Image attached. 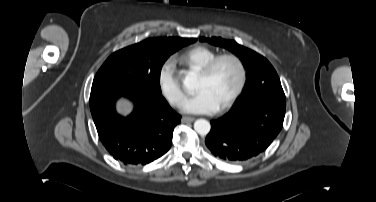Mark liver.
Returning a JSON list of instances; mask_svg holds the SVG:
<instances>
[{
    "label": "liver",
    "instance_id": "liver-1",
    "mask_svg": "<svg viewBox=\"0 0 376 202\" xmlns=\"http://www.w3.org/2000/svg\"><path fill=\"white\" fill-rule=\"evenodd\" d=\"M117 108H118V112L123 116H127L132 112V105L127 100L119 101Z\"/></svg>",
    "mask_w": 376,
    "mask_h": 202
}]
</instances>
